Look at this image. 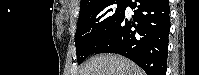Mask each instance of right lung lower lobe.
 Here are the masks:
<instances>
[{
    "label": "right lung lower lobe",
    "instance_id": "obj_1",
    "mask_svg": "<svg viewBox=\"0 0 199 75\" xmlns=\"http://www.w3.org/2000/svg\"><path fill=\"white\" fill-rule=\"evenodd\" d=\"M134 9L125 16L94 54L117 53L139 65L148 75H166L170 7L168 0H126Z\"/></svg>",
    "mask_w": 199,
    "mask_h": 75
}]
</instances>
